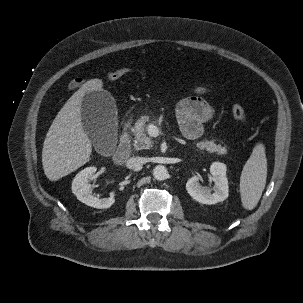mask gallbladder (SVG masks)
<instances>
[{"mask_svg": "<svg viewBox=\"0 0 303 303\" xmlns=\"http://www.w3.org/2000/svg\"><path fill=\"white\" fill-rule=\"evenodd\" d=\"M83 128L100 152L113 147L116 139L117 109L112 95L106 91L85 93L81 104Z\"/></svg>", "mask_w": 303, "mask_h": 303, "instance_id": "bac80fb5", "label": "gallbladder"}]
</instances>
